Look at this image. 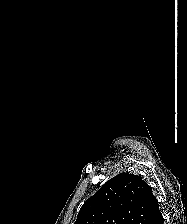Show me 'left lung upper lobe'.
<instances>
[{"label": "left lung upper lobe", "mask_w": 187, "mask_h": 224, "mask_svg": "<svg viewBox=\"0 0 187 224\" xmlns=\"http://www.w3.org/2000/svg\"><path fill=\"white\" fill-rule=\"evenodd\" d=\"M159 202L138 175L120 173L82 205L74 224H151Z\"/></svg>", "instance_id": "1"}]
</instances>
